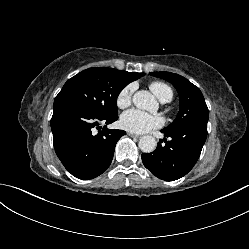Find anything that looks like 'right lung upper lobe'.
<instances>
[{
	"mask_svg": "<svg viewBox=\"0 0 249 249\" xmlns=\"http://www.w3.org/2000/svg\"><path fill=\"white\" fill-rule=\"evenodd\" d=\"M121 76L126 79L127 82H132L144 75V73H135V72H126V71H120Z\"/></svg>",
	"mask_w": 249,
	"mask_h": 249,
	"instance_id": "cb5924a9",
	"label": "right lung upper lobe"
}]
</instances>
